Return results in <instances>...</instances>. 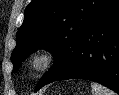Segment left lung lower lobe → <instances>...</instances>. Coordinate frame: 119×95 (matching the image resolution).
I'll return each instance as SVG.
<instances>
[{
  "mask_svg": "<svg viewBox=\"0 0 119 95\" xmlns=\"http://www.w3.org/2000/svg\"><path fill=\"white\" fill-rule=\"evenodd\" d=\"M66 79L94 81L119 94V0L87 29L71 66L46 84Z\"/></svg>",
  "mask_w": 119,
  "mask_h": 95,
  "instance_id": "0a47b994",
  "label": "left lung lower lobe"
}]
</instances>
